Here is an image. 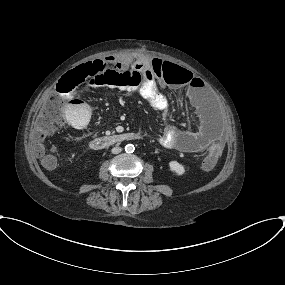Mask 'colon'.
<instances>
[{
  "mask_svg": "<svg viewBox=\"0 0 285 285\" xmlns=\"http://www.w3.org/2000/svg\"><path fill=\"white\" fill-rule=\"evenodd\" d=\"M186 69L179 66L165 63L161 76L185 75ZM97 79L107 87L125 92H136L142 87L143 73L139 70L121 69L117 63L106 60H94L78 66L67 72L59 84V93H53L45 100L41 110L35 115L31 139L39 151H44V142L50 134L58 131L66 123L67 117L63 104V99L72 96L74 98L75 89L78 85L86 81ZM71 81L69 85L63 87L65 81ZM89 120H83L80 125L85 126ZM221 151L214 149L211 154L204 159L202 168L212 169ZM44 166L51 168L56 165L55 157L51 153H45Z\"/></svg>",
  "mask_w": 285,
  "mask_h": 285,
  "instance_id": "colon-1",
  "label": "colon"
}]
</instances>
